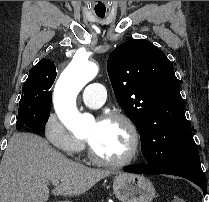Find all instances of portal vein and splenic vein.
Returning <instances> with one entry per match:
<instances>
[{"instance_id": "18ae733b", "label": "portal vein and splenic vein", "mask_w": 209, "mask_h": 202, "mask_svg": "<svg viewBox=\"0 0 209 202\" xmlns=\"http://www.w3.org/2000/svg\"><path fill=\"white\" fill-rule=\"evenodd\" d=\"M53 185H59V181L53 180L51 181Z\"/></svg>"}]
</instances>
